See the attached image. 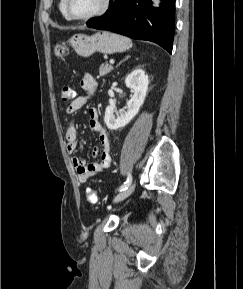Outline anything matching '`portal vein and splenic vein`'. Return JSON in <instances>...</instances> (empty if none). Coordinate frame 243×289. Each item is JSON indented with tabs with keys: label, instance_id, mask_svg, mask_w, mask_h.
<instances>
[{
	"label": "portal vein and splenic vein",
	"instance_id": "portal-vein-and-splenic-vein-1",
	"mask_svg": "<svg viewBox=\"0 0 243 289\" xmlns=\"http://www.w3.org/2000/svg\"><path fill=\"white\" fill-rule=\"evenodd\" d=\"M110 64H114V60L113 59L110 60Z\"/></svg>",
	"mask_w": 243,
	"mask_h": 289
}]
</instances>
